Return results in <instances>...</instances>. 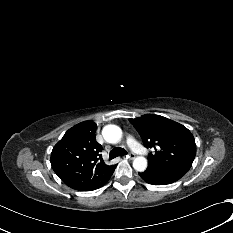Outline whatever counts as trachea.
I'll return each mask as SVG.
<instances>
[{"instance_id":"1","label":"trachea","mask_w":233,"mask_h":233,"mask_svg":"<svg viewBox=\"0 0 233 233\" xmlns=\"http://www.w3.org/2000/svg\"><path fill=\"white\" fill-rule=\"evenodd\" d=\"M127 154V151L121 147H116L110 151L109 158L110 160L118 157V156H124Z\"/></svg>"}]
</instances>
